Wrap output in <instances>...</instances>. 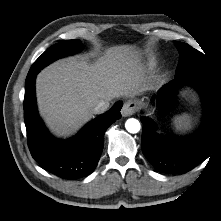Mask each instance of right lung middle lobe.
Returning <instances> with one entry per match:
<instances>
[{
	"instance_id": "right-lung-middle-lobe-1",
	"label": "right lung middle lobe",
	"mask_w": 221,
	"mask_h": 221,
	"mask_svg": "<svg viewBox=\"0 0 221 221\" xmlns=\"http://www.w3.org/2000/svg\"><path fill=\"white\" fill-rule=\"evenodd\" d=\"M81 49V42L79 40L61 41L48 50H46L32 65L28 76L37 74L43 67L47 66L54 60L77 53Z\"/></svg>"
}]
</instances>
